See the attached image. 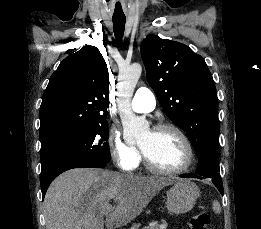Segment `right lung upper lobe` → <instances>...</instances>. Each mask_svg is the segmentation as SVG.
<instances>
[{"instance_id":"cb5924a9","label":"right lung upper lobe","mask_w":261,"mask_h":229,"mask_svg":"<svg viewBox=\"0 0 261 229\" xmlns=\"http://www.w3.org/2000/svg\"><path fill=\"white\" fill-rule=\"evenodd\" d=\"M109 73L96 47L85 46L52 74L40 107L41 149L69 141L106 122Z\"/></svg>"}]
</instances>
